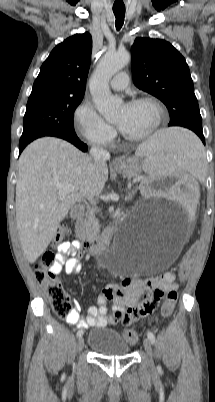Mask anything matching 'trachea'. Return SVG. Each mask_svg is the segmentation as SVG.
<instances>
[{
    "mask_svg": "<svg viewBox=\"0 0 215 402\" xmlns=\"http://www.w3.org/2000/svg\"><path fill=\"white\" fill-rule=\"evenodd\" d=\"M116 21V29L120 30L124 23L125 9H113Z\"/></svg>",
    "mask_w": 215,
    "mask_h": 402,
    "instance_id": "obj_1",
    "label": "trachea"
}]
</instances>
